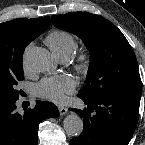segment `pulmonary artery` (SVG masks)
I'll return each mask as SVG.
<instances>
[{
    "mask_svg": "<svg viewBox=\"0 0 145 145\" xmlns=\"http://www.w3.org/2000/svg\"><path fill=\"white\" fill-rule=\"evenodd\" d=\"M60 59H61V61H66L68 58L67 57H61Z\"/></svg>",
    "mask_w": 145,
    "mask_h": 145,
    "instance_id": "obj_1",
    "label": "pulmonary artery"
}]
</instances>
